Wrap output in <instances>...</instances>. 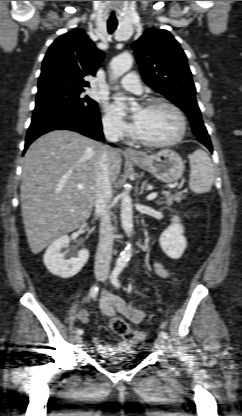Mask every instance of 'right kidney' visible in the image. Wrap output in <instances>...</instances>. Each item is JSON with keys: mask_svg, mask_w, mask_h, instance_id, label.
<instances>
[{"mask_svg": "<svg viewBox=\"0 0 242 416\" xmlns=\"http://www.w3.org/2000/svg\"><path fill=\"white\" fill-rule=\"evenodd\" d=\"M69 242L70 238L62 235L48 247L44 254V264L53 275L70 278L83 268L89 258L88 250L81 249L76 257L65 259V254L61 253V249Z\"/></svg>", "mask_w": 242, "mask_h": 416, "instance_id": "ca27d5eb", "label": "right kidney"}]
</instances>
